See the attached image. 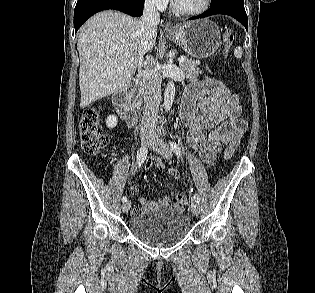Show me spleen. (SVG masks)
Listing matches in <instances>:
<instances>
[{"instance_id":"3e777b00","label":"spleen","mask_w":315,"mask_h":293,"mask_svg":"<svg viewBox=\"0 0 315 293\" xmlns=\"http://www.w3.org/2000/svg\"><path fill=\"white\" fill-rule=\"evenodd\" d=\"M234 55L236 58H241L243 55V50L240 46L236 47L234 50Z\"/></svg>"}]
</instances>
